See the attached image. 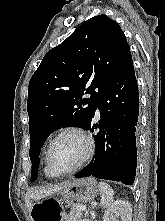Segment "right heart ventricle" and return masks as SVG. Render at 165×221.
<instances>
[{
	"mask_svg": "<svg viewBox=\"0 0 165 221\" xmlns=\"http://www.w3.org/2000/svg\"><path fill=\"white\" fill-rule=\"evenodd\" d=\"M44 173L49 177H53V175L48 171L46 165H44Z\"/></svg>",
	"mask_w": 165,
	"mask_h": 221,
	"instance_id": "e07e8e85",
	"label": "right heart ventricle"
}]
</instances>
